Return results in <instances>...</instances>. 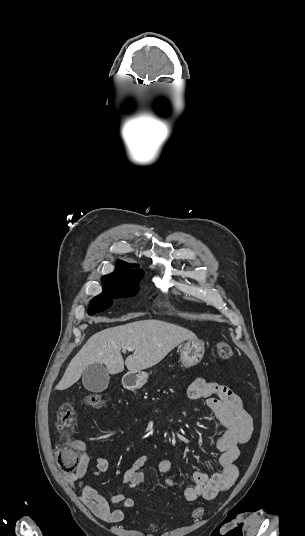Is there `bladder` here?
I'll return each instance as SVG.
<instances>
[{
	"label": "bladder",
	"mask_w": 305,
	"mask_h": 536,
	"mask_svg": "<svg viewBox=\"0 0 305 536\" xmlns=\"http://www.w3.org/2000/svg\"><path fill=\"white\" fill-rule=\"evenodd\" d=\"M155 528V525L151 524L148 526V529L153 530Z\"/></svg>",
	"instance_id": "bladder-1"
}]
</instances>
